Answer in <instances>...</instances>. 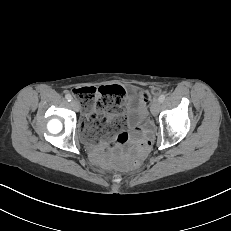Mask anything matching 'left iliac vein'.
Masks as SVG:
<instances>
[{"label": "left iliac vein", "mask_w": 231, "mask_h": 231, "mask_svg": "<svg viewBox=\"0 0 231 231\" xmlns=\"http://www.w3.org/2000/svg\"><path fill=\"white\" fill-rule=\"evenodd\" d=\"M160 110V101L154 100L151 105V113L152 115L156 116L159 113Z\"/></svg>", "instance_id": "obj_1"}]
</instances>
